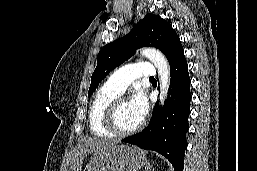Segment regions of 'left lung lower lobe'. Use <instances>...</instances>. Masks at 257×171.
I'll list each match as a JSON object with an SVG mask.
<instances>
[{"label": "left lung lower lobe", "mask_w": 257, "mask_h": 171, "mask_svg": "<svg viewBox=\"0 0 257 171\" xmlns=\"http://www.w3.org/2000/svg\"><path fill=\"white\" fill-rule=\"evenodd\" d=\"M171 79L163 109L154 108L149 125L140 133L122 141L166 157L175 171H183L186 132L189 129L191 93L188 66L181 48L168 59Z\"/></svg>", "instance_id": "1"}]
</instances>
